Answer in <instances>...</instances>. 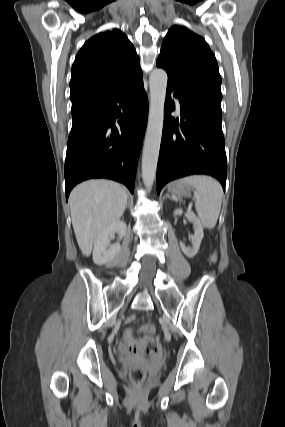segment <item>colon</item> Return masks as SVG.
<instances>
[{"mask_svg": "<svg viewBox=\"0 0 285 427\" xmlns=\"http://www.w3.org/2000/svg\"><path fill=\"white\" fill-rule=\"evenodd\" d=\"M216 261V255L212 257ZM156 328L152 323H143L136 329H128L125 332V345L133 352H142L151 357H158L162 354L160 342L153 336ZM140 335V336H137ZM129 376L131 381L140 386L143 384L146 372L140 366H134L130 369Z\"/></svg>", "mask_w": 285, "mask_h": 427, "instance_id": "1", "label": "colon"}]
</instances>
